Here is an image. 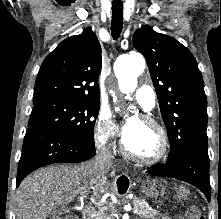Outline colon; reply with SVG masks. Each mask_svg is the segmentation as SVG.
Segmentation results:
<instances>
[{
  "label": "colon",
  "mask_w": 221,
  "mask_h": 219,
  "mask_svg": "<svg viewBox=\"0 0 221 219\" xmlns=\"http://www.w3.org/2000/svg\"><path fill=\"white\" fill-rule=\"evenodd\" d=\"M180 192V197H184L185 196V192L182 189H179ZM66 219H73L71 218V216L67 217ZM183 219H205L204 214L201 212L200 209L198 208H191L186 215L184 216Z\"/></svg>",
  "instance_id": "obj_1"
}]
</instances>
